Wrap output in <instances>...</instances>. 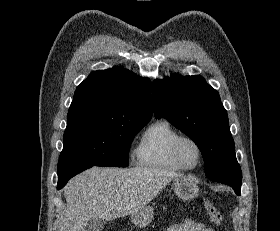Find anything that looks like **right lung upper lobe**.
<instances>
[{"label": "right lung upper lobe", "instance_id": "1", "mask_svg": "<svg viewBox=\"0 0 280 231\" xmlns=\"http://www.w3.org/2000/svg\"><path fill=\"white\" fill-rule=\"evenodd\" d=\"M151 81L121 67L94 71L74 93L71 118H112L149 122Z\"/></svg>", "mask_w": 280, "mask_h": 231}]
</instances>
